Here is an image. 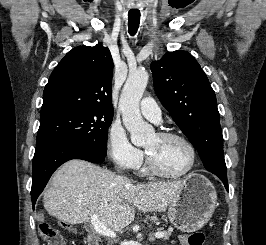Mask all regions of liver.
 I'll return each instance as SVG.
<instances>
[{"label":"liver","instance_id":"obj_1","mask_svg":"<svg viewBox=\"0 0 266 245\" xmlns=\"http://www.w3.org/2000/svg\"><path fill=\"white\" fill-rule=\"evenodd\" d=\"M119 177L87 161H68L54 173L43 205L51 217L63 223L79 225L89 215L111 231H122L142 213L166 211L171 199L183 189V181L173 183H137Z\"/></svg>","mask_w":266,"mask_h":245}]
</instances>
